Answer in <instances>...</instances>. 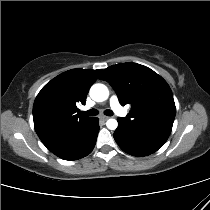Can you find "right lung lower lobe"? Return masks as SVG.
<instances>
[{
    "instance_id": "obj_1",
    "label": "right lung lower lobe",
    "mask_w": 210,
    "mask_h": 210,
    "mask_svg": "<svg viewBox=\"0 0 210 210\" xmlns=\"http://www.w3.org/2000/svg\"><path fill=\"white\" fill-rule=\"evenodd\" d=\"M98 131V118L93 117L88 125L69 134L50 151L64 160L72 161L83 158L93 150Z\"/></svg>"
}]
</instances>
